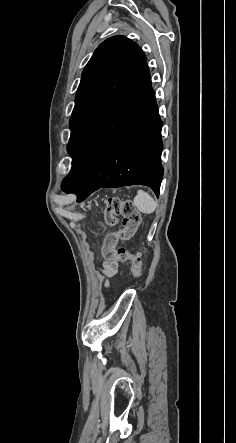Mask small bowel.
<instances>
[{"instance_id": "c3829d8e", "label": "small bowel", "mask_w": 236, "mask_h": 443, "mask_svg": "<svg viewBox=\"0 0 236 443\" xmlns=\"http://www.w3.org/2000/svg\"><path fill=\"white\" fill-rule=\"evenodd\" d=\"M103 273L108 277H113L118 273V265L116 262H104Z\"/></svg>"}]
</instances>
